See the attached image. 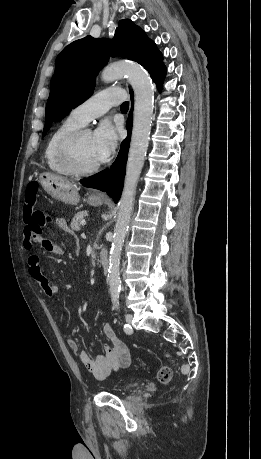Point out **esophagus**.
Returning <instances> with one entry per match:
<instances>
[{"label": "esophagus", "mask_w": 261, "mask_h": 459, "mask_svg": "<svg viewBox=\"0 0 261 459\" xmlns=\"http://www.w3.org/2000/svg\"><path fill=\"white\" fill-rule=\"evenodd\" d=\"M94 194L96 196H99V197H105L106 196L105 192L99 191V190L95 191Z\"/></svg>", "instance_id": "esophagus-1"}]
</instances>
